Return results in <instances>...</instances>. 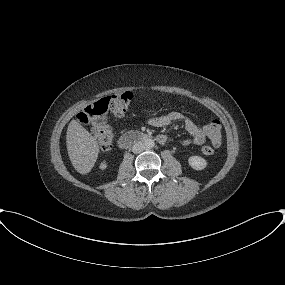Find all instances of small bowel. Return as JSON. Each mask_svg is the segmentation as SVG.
Segmentation results:
<instances>
[{"instance_id":"small-bowel-1","label":"small bowel","mask_w":285,"mask_h":285,"mask_svg":"<svg viewBox=\"0 0 285 285\" xmlns=\"http://www.w3.org/2000/svg\"><path fill=\"white\" fill-rule=\"evenodd\" d=\"M182 121L184 123L188 137L183 141L184 145H202L206 140V132L204 127L192 121L180 112H170L162 116L152 117L148 123L155 127H165L170 125L172 122ZM165 135H160L159 140L166 141Z\"/></svg>"}]
</instances>
